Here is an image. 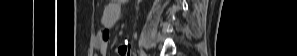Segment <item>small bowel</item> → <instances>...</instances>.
I'll return each mask as SVG.
<instances>
[{"label": "small bowel", "instance_id": "1", "mask_svg": "<svg viewBox=\"0 0 297 56\" xmlns=\"http://www.w3.org/2000/svg\"><path fill=\"white\" fill-rule=\"evenodd\" d=\"M121 4L122 0L110 1L103 11L102 24L104 28L99 32L96 41V47L101 55H106L107 53L109 29L113 27L120 18ZM127 51L128 49L125 45H121L118 48L119 55H126Z\"/></svg>", "mask_w": 297, "mask_h": 56}]
</instances>
